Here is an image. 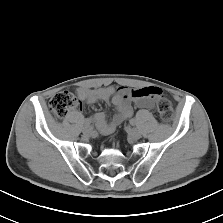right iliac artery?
<instances>
[{
	"mask_svg": "<svg viewBox=\"0 0 223 223\" xmlns=\"http://www.w3.org/2000/svg\"><path fill=\"white\" fill-rule=\"evenodd\" d=\"M91 123V119H86L84 122V126H88Z\"/></svg>",
	"mask_w": 223,
	"mask_h": 223,
	"instance_id": "obj_1",
	"label": "right iliac artery"
}]
</instances>
